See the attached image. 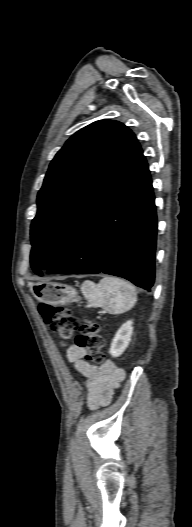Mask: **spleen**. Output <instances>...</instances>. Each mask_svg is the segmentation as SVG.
Here are the masks:
<instances>
[{
	"label": "spleen",
	"instance_id": "1",
	"mask_svg": "<svg viewBox=\"0 0 192 527\" xmlns=\"http://www.w3.org/2000/svg\"><path fill=\"white\" fill-rule=\"evenodd\" d=\"M81 291L94 307H102L116 314L130 310L137 301L135 287L116 277L106 276L98 284L89 280L84 281Z\"/></svg>",
	"mask_w": 192,
	"mask_h": 527
}]
</instances>
